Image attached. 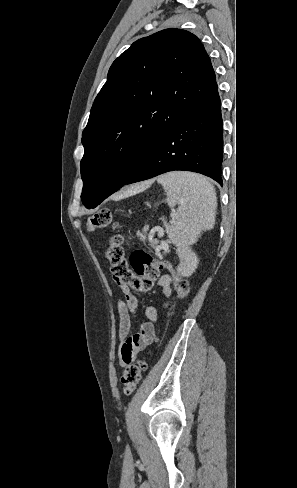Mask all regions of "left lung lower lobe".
I'll return each mask as SVG.
<instances>
[{"label": "left lung lower lobe", "mask_w": 297, "mask_h": 488, "mask_svg": "<svg viewBox=\"0 0 297 488\" xmlns=\"http://www.w3.org/2000/svg\"><path fill=\"white\" fill-rule=\"evenodd\" d=\"M220 106L217 88L158 143L126 184L169 171L186 170L211 177L222 185L223 123Z\"/></svg>", "instance_id": "obj_1"}]
</instances>
